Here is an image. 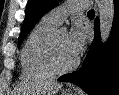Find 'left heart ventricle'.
I'll use <instances>...</instances> for the list:
<instances>
[{
	"mask_svg": "<svg viewBox=\"0 0 119 95\" xmlns=\"http://www.w3.org/2000/svg\"><path fill=\"white\" fill-rule=\"evenodd\" d=\"M55 57L60 66L70 65L76 57L70 52L67 45V33L60 31L55 38Z\"/></svg>",
	"mask_w": 119,
	"mask_h": 95,
	"instance_id": "obj_1",
	"label": "left heart ventricle"
}]
</instances>
